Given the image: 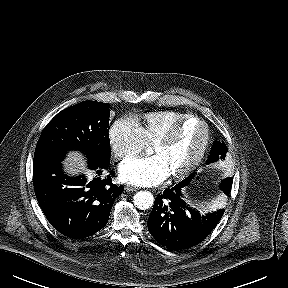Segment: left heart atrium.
Listing matches in <instances>:
<instances>
[{
	"label": "left heart atrium",
	"mask_w": 288,
	"mask_h": 288,
	"mask_svg": "<svg viewBox=\"0 0 288 288\" xmlns=\"http://www.w3.org/2000/svg\"><path fill=\"white\" fill-rule=\"evenodd\" d=\"M120 179L137 186H154L165 181L170 172L159 155L125 159L119 166Z\"/></svg>",
	"instance_id": "obj_1"
}]
</instances>
